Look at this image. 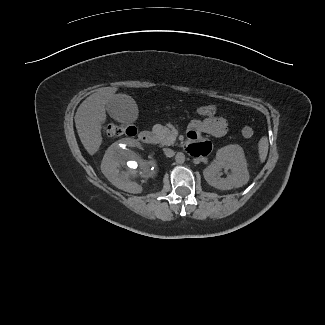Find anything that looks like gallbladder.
I'll use <instances>...</instances> for the list:
<instances>
[{
  "label": "gallbladder",
  "mask_w": 325,
  "mask_h": 325,
  "mask_svg": "<svg viewBox=\"0 0 325 325\" xmlns=\"http://www.w3.org/2000/svg\"><path fill=\"white\" fill-rule=\"evenodd\" d=\"M106 108L109 115L121 123H132L138 116L137 105L128 96L113 98Z\"/></svg>",
  "instance_id": "1"
}]
</instances>
